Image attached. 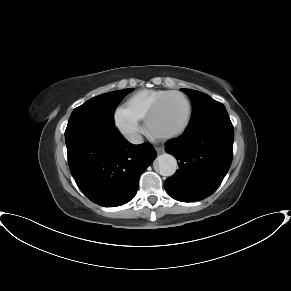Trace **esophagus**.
Segmentation results:
<instances>
[{
	"label": "esophagus",
	"instance_id": "obj_1",
	"mask_svg": "<svg viewBox=\"0 0 291 291\" xmlns=\"http://www.w3.org/2000/svg\"><path fill=\"white\" fill-rule=\"evenodd\" d=\"M155 150L158 154H161L164 152V148L163 147H155Z\"/></svg>",
	"mask_w": 291,
	"mask_h": 291
}]
</instances>
